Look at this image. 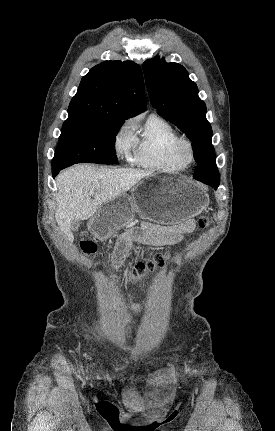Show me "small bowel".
<instances>
[{"instance_id": "1", "label": "small bowel", "mask_w": 275, "mask_h": 431, "mask_svg": "<svg viewBox=\"0 0 275 431\" xmlns=\"http://www.w3.org/2000/svg\"><path fill=\"white\" fill-rule=\"evenodd\" d=\"M195 229L192 219L171 226H162L146 222L140 230H134L122 235L116 243L112 260L120 263L129 251L134 241L152 246L174 245Z\"/></svg>"}]
</instances>
